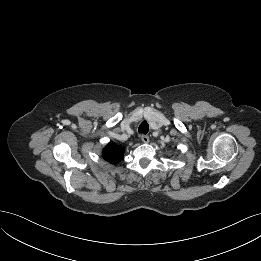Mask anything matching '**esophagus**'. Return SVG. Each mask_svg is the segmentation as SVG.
Listing matches in <instances>:
<instances>
[{"instance_id":"obj_1","label":"esophagus","mask_w":261,"mask_h":261,"mask_svg":"<svg viewBox=\"0 0 261 261\" xmlns=\"http://www.w3.org/2000/svg\"><path fill=\"white\" fill-rule=\"evenodd\" d=\"M141 141L143 143H148L149 142V136L148 135H141Z\"/></svg>"}]
</instances>
